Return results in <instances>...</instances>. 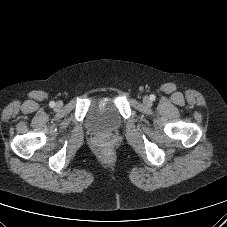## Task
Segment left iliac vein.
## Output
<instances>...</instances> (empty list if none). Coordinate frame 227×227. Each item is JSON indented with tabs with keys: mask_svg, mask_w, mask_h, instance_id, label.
<instances>
[{
	"mask_svg": "<svg viewBox=\"0 0 227 227\" xmlns=\"http://www.w3.org/2000/svg\"><path fill=\"white\" fill-rule=\"evenodd\" d=\"M143 103H144L145 105H147V106H150V105H151V100H150V98H149L148 96H145V97L143 98Z\"/></svg>",
	"mask_w": 227,
	"mask_h": 227,
	"instance_id": "obj_1",
	"label": "left iliac vein"
}]
</instances>
